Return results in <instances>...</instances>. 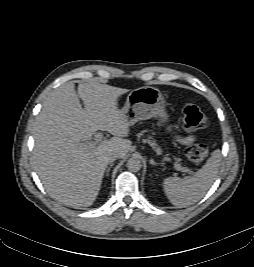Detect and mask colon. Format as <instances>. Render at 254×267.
Listing matches in <instances>:
<instances>
[{
    "instance_id": "obj_1",
    "label": "colon",
    "mask_w": 254,
    "mask_h": 267,
    "mask_svg": "<svg viewBox=\"0 0 254 267\" xmlns=\"http://www.w3.org/2000/svg\"><path fill=\"white\" fill-rule=\"evenodd\" d=\"M209 119L196 105L187 104L183 108L182 126L186 131L204 129L208 126ZM208 148L202 143H193L186 149L188 160L200 165L208 156Z\"/></svg>"
}]
</instances>
